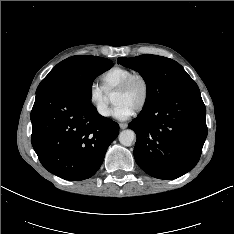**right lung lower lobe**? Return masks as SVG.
<instances>
[{"label":"right lung lower lobe","mask_w":234,"mask_h":234,"mask_svg":"<svg viewBox=\"0 0 234 234\" xmlns=\"http://www.w3.org/2000/svg\"><path fill=\"white\" fill-rule=\"evenodd\" d=\"M31 122V142L41 164L54 175L73 181L98 171L119 134L118 123L66 91L37 94Z\"/></svg>","instance_id":"right-lung-lower-lobe-1"}]
</instances>
